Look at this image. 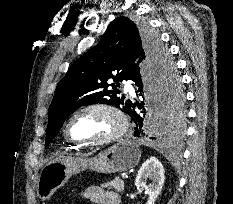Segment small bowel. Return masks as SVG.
<instances>
[{"label": "small bowel", "instance_id": "1", "mask_svg": "<svg viewBox=\"0 0 233 204\" xmlns=\"http://www.w3.org/2000/svg\"><path fill=\"white\" fill-rule=\"evenodd\" d=\"M83 197L95 204H119V195L110 190H104L98 186L88 187L83 191Z\"/></svg>", "mask_w": 233, "mask_h": 204}]
</instances>
